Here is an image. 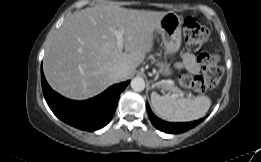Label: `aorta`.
<instances>
[{
  "instance_id": "1",
  "label": "aorta",
  "mask_w": 261,
  "mask_h": 162,
  "mask_svg": "<svg viewBox=\"0 0 261 162\" xmlns=\"http://www.w3.org/2000/svg\"><path fill=\"white\" fill-rule=\"evenodd\" d=\"M130 85L134 91L140 92L143 91L145 88V81L141 77H135L131 80Z\"/></svg>"
}]
</instances>
